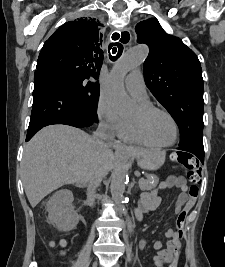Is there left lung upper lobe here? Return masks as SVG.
<instances>
[{
    "label": "left lung upper lobe",
    "instance_id": "obj_1",
    "mask_svg": "<svg viewBox=\"0 0 225 267\" xmlns=\"http://www.w3.org/2000/svg\"><path fill=\"white\" fill-rule=\"evenodd\" d=\"M135 30L137 42L150 48L144 62L146 85L177 123L179 146L203 141V78L198 57L154 18L138 23Z\"/></svg>",
    "mask_w": 225,
    "mask_h": 267
}]
</instances>
